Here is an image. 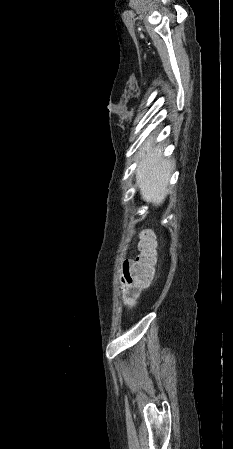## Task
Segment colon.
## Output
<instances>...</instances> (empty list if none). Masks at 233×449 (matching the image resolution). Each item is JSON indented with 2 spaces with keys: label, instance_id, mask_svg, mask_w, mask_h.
Here are the masks:
<instances>
[{
  "label": "colon",
  "instance_id": "obj_1",
  "mask_svg": "<svg viewBox=\"0 0 233 449\" xmlns=\"http://www.w3.org/2000/svg\"><path fill=\"white\" fill-rule=\"evenodd\" d=\"M155 248V235L150 231L145 232L140 243V256L126 261L123 265L133 294L147 287L154 278L156 272Z\"/></svg>",
  "mask_w": 233,
  "mask_h": 449
}]
</instances>
